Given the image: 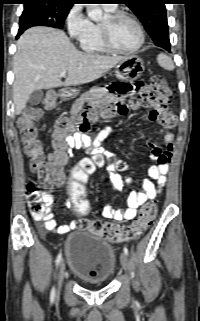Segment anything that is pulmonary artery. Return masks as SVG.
<instances>
[{"mask_svg": "<svg viewBox=\"0 0 200 321\" xmlns=\"http://www.w3.org/2000/svg\"><path fill=\"white\" fill-rule=\"evenodd\" d=\"M106 7H107V8H115L116 5H114V4H108V5H106Z\"/></svg>", "mask_w": 200, "mask_h": 321, "instance_id": "e3ab8cb5", "label": "pulmonary artery"}]
</instances>
